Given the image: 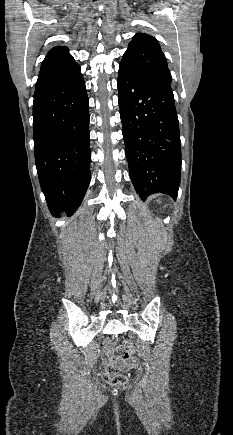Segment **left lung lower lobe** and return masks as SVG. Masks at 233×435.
<instances>
[{"mask_svg": "<svg viewBox=\"0 0 233 435\" xmlns=\"http://www.w3.org/2000/svg\"><path fill=\"white\" fill-rule=\"evenodd\" d=\"M118 102L129 174L140 198L165 193L176 199L181 142L171 88L152 83L119 65Z\"/></svg>", "mask_w": 233, "mask_h": 435, "instance_id": "1", "label": "left lung lower lobe"}]
</instances>
